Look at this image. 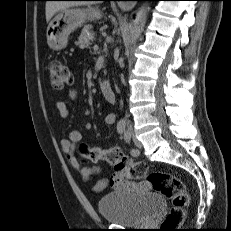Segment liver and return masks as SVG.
Listing matches in <instances>:
<instances>
[{"instance_id":"obj_1","label":"liver","mask_w":231,"mask_h":231,"mask_svg":"<svg viewBox=\"0 0 231 231\" xmlns=\"http://www.w3.org/2000/svg\"><path fill=\"white\" fill-rule=\"evenodd\" d=\"M93 3L80 1H48L46 3V21L49 22L51 18L60 10L81 5H91Z\"/></svg>"}]
</instances>
